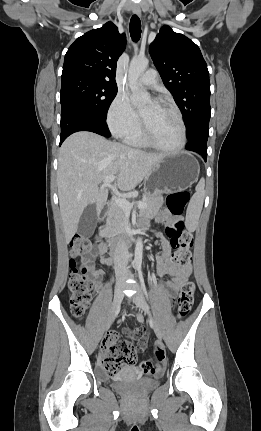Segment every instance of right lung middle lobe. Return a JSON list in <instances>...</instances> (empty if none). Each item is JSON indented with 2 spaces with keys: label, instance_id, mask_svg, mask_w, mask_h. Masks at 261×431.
<instances>
[{
  "label": "right lung middle lobe",
  "instance_id": "right-lung-middle-lobe-1",
  "mask_svg": "<svg viewBox=\"0 0 261 431\" xmlns=\"http://www.w3.org/2000/svg\"><path fill=\"white\" fill-rule=\"evenodd\" d=\"M61 82L62 106H71L88 116L106 120L117 86L86 75L64 77Z\"/></svg>",
  "mask_w": 261,
  "mask_h": 431
}]
</instances>
